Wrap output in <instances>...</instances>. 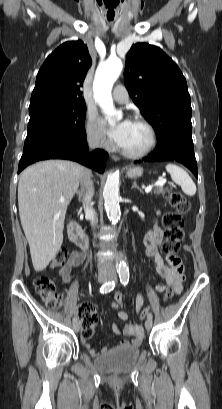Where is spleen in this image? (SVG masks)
Here are the masks:
<instances>
[{
	"instance_id": "3e777b00",
	"label": "spleen",
	"mask_w": 222,
	"mask_h": 409,
	"mask_svg": "<svg viewBox=\"0 0 222 409\" xmlns=\"http://www.w3.org/2000/svg\"><path fill=\"white\" fill-rule=\"evenodd\" d=\"M166 170L171 175L172 180L181 186L182 191L186 195H195L196 185L184 169L175 164H167Z\"/></svg>"
}]
</instances>
